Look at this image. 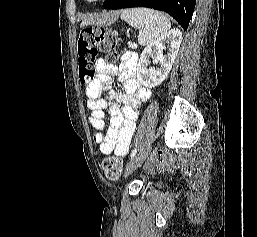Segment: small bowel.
Returning <instances> with one entry per match:
<instances>
[{"label": "small bowel", "mask_w": 257, "mask_h": 237, "mask_svg": "<svg viewBox=\"0 0 257 237\" xmlns=\"http://www.w3.org/2000/svg\"><path fill=\"white\" fill-rule=\"evenodd\" d=\"M96 66L98 75L85 89L87 106L91 111L89 122L96 130L94 141L102 153L124 157L135 132L138 109L149 99L151 92L135 78L136 55L132 52L124 55L123 69L118 77L125 93L111 90V74L116 72L114 65L105 59H98ZM103 91H107L106 96L102 95ZM105 111L110 115L108 125L104 120Z\"/></svg>", "instance_id": "c3829d8e"}]
</instances>
